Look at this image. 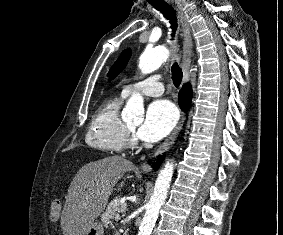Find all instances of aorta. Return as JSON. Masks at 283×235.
<instances>
[{
    "instance_id": "obj_1",
    "label": "aorta",
    "mask_w": 283,
    "mask_h": 235,
    "mask_svg": "<svg viewBox=\"0 0 283 235\" xmlns=\"http://www.w3.org/2000/svg\"><path fill=\"white\" fill-rule=\"evenodd\" d=\"M169 57V50L160 46L146 50L139 58V68L143 74L157 70ZM144 106L143 98L139 94H134L127 102L122 117L124 120H143ZM174 170L173 162H167L160 170L155 181L153 194L147 204L146 211L139 227L138 235H151L155 222L158 218L159 210L168 194V189Z\"/></svg>"
}]
</instances>
